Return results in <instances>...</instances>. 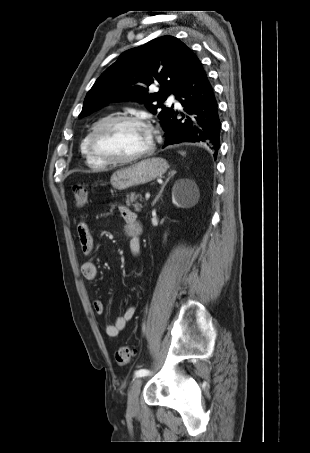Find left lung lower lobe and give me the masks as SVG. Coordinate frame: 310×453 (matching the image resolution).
I'll return each mask as SVG.
<instances>
[{"mask_svg":"<svg viewBox=\"0 0 310 453\" xmlns=\"http://www.w3.org/2000/svg\"><path fill=\"white\" fill-rule=\"evenodd\" d=\"M176 98L187 114H183L184 120H178L175 116L178 112L173 111L163 126L166 131L164 147L181 142H202L214 151L216 157L221 131L218 105L207 74L194 53Z\"/></svg>","mask_w":310,"mask_h":453,"instance_id":"0a47b994","label":"left lung lower lobe"}]
</instances>
